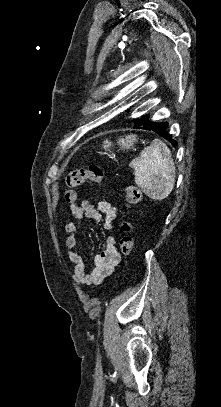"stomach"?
<instances>
[{"label": "stomach", "instance_id": "obj_1", "mask_svg": "<svg viewBox=\"0 0 221 407\" xmlns=\"http://www.w3.org/2000/svg\"><path fill=\"white\" fill-rule=\"evenodd\" d=\"M138 137L135 134H130V135H126L125 137H120L117 140V144L121 147V149H133L134 144H136L138 142ZM112 147V142L109 140H105L103 142V148L106 151H110V148Z\"/></svg>", "mask_w": 221, "mask_h": 407}]
</instances>
